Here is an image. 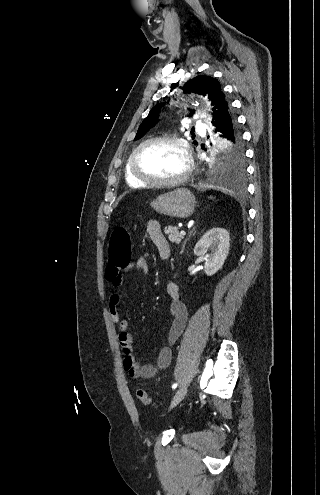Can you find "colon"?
Segmentation results:
<instances>
[{"label":"colon","instance_id":"obj_1","mask_svg":"<svg viewBox=\"0 0 320 495\" xmlns=\"http://www.w3.org/2000/svg\"><path fill=\"white\" fill-rule=\"evenodd\" d=\"M131 261V236L125 227H116L108 243V272L120 273ZM137 399L146 406L154 405L153 400L143 389L136 392Z\"/></svg>","mask_w":320,"mask_h":495}]
</instances>
